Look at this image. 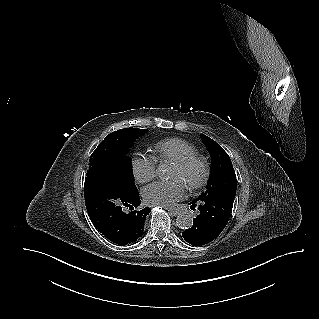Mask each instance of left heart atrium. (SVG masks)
Instances as JSON below:
<instances>
[{
	"label": "left heart atrium",
	"mask_w": 319,
	"mask_h": 319,
	"mask_svg": "<svg viewBox=\"0 0 319 319\" xmlns=\"http://www.w3.org/2000/svg\"><path fill=\"white\" fill-rule=\"evenodd\" d=\"M185 183L180 179L157 181L142 190L144 201L152 206L170 207L185 193Z\"/></svg>",
	"instance_id": "1"
}]
</instances>
